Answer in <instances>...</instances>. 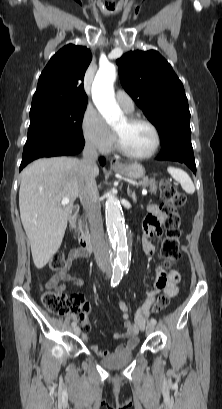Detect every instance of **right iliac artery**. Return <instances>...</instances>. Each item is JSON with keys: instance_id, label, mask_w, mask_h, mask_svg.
I'll return each mask as SVG.
<instances>
[{"instance_id": "1", "label": "right iliac artery", "mask_w": 222, "mask_h": 409, "mask_svg": "<svg viewBox=\"0 0 222 409\" xmlns=\"http://www.w3.org/2000/svg\"><path fill=\"white\" fill-rule=\"evenodd\" d=\"M122 278V273L121 271H117L115 273H113L112 279H111V286L115 287L119 284L120 280ZM72 327H75L77 325V323L75 321H73L71 323Z\"/></svg>"}]
</instances>
